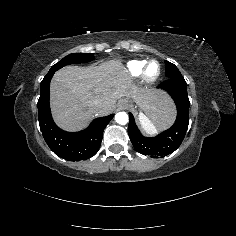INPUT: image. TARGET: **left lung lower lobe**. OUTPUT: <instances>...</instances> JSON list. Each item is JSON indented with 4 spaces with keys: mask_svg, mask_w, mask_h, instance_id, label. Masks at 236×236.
Returning a JSON list of instances; mask_svg holds the SVG:
<instances>
[{
    "mask_svg": "<svg viewBox=\"0 0 236 236\" xmlns=\"http://www.w3.org/2000/svg\"><path fill=\"white\" fill-rule=\"evenodd\" d=\"M158 88L167 91L177 106V118L171 128L156 137H144L138 130L133 115L129 113V138L139 153L151 158L173 153L181 145L189 124L190 102L184 78H167Z\"/></svg>",
    "mask_w": 236,
    "mask_h": 236,
    "instance_id": "1",
    "label": "left lung lower lobe"
}]
</instances>
